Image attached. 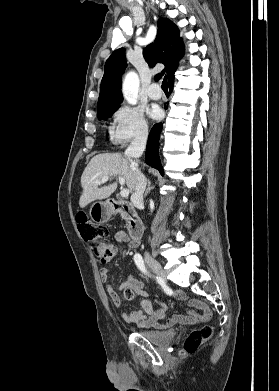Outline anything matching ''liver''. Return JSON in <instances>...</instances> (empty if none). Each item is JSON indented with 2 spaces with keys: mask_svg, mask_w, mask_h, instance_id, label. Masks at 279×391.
<instances>
[{
  "mask_svg": "<svg viewBox=\"0 0 279 391\" xmlns=\"http://www.w3.org/2000/svg\"><path fill=\"white\" fill-rule=\"evenodd\" d=\"M129 158L121 154H98L94 156L86 166L81 176V186L83 188L82 195L79 200V205L84 208L89 203L95 200H103L115 191L117 184L98 187L96 180H101L104 177L112 179L113 176L123 177L130 192L135 190L136 179L131 168ZM138 166V164L136 163Z\"/></svg>",
  "mask_w": 279,
  "mask_h": 391,
  "instance_id": "6515ba94",
  "label": "liver"
}]
</instances>
